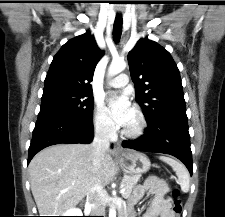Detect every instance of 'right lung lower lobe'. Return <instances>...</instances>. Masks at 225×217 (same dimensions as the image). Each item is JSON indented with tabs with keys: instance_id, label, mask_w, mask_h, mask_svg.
Returning <instances> with one entry per match:
<instances>
[{
	"instance_id": "obj_1",
	"label": "right lung lower lobe",
	"mask_w": 225,
	"mask_h": 217,
	"mask_svg": "<svg viewBox=\"0 0 225 217\" xmlns=\"http://www.w3.org/2000/svg\"><path fill=\"white\" fill-rule=\"evenodd\" d=\"M94 128L92 114L76 118L56 112H40L33 130L27 163L45 147L60 143L92 142Z\"/></svg>"
}]
</instances>
